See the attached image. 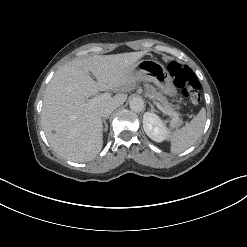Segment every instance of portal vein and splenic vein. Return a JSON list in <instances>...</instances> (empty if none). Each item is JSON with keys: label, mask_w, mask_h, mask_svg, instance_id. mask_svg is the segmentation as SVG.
<instances>
[{"label": "portal vein and splenic vein", "mask_w": 247, "mask_h": 247, "mask_svg": "<svg viewBox=\"0 0 247 247\" xmlns=\"http://www.w3.org/2000/svg\"><path fill=\"white\" fill-rule=\"evenodd\" d=\"M110 96H111L110 93H103V94L98 95V96H96V97H94L92 99H89L88 103L92 104V103H94L96 101H100V100H104V99L110 98ZM154 104L157 106L158 109H160L162 112H164L163 108L161 107V105L158 102L154 101Z\"/></svg>", "instance_id": "portal-vein-and-splenic-vein-1"}]
</instances>
